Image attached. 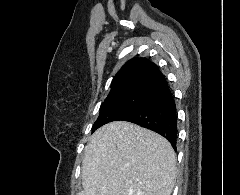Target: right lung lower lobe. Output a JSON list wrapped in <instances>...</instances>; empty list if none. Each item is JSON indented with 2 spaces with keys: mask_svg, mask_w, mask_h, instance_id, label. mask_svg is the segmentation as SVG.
<instances>
[{
  "mask_svg": "<svg viewBox=\"0 0 240 195\" xmlns=\"http://www.w3.org/2000/svg\"><path fill=\"white\" fill-rule=\"evenodd\" d=\"M119 120L132 122L159 133L176 150V105L167 81L150 90L139 106Z\"/></svg>",
  "mask_w": 240,
  "mask_h": 195,
  "instance_id": "right-lung-lower-lobe-1",
  "label": "right lung lower lobe"
}]
</instances>
